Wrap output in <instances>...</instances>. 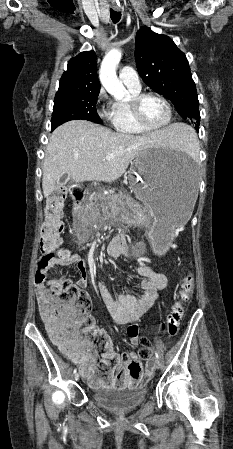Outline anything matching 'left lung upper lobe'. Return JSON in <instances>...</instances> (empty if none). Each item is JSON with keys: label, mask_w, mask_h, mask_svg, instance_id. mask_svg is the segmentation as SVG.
I'll list each match as a JSON object with an SVG mask.
<instances>
[{"label": "left lung upper lobe", "mask_w": 233, "mask_h": 449, "mask_svg": "<svg viewBox=\"0 0 233 449\" xmlns=\"http://www.w3.org/2000/svg\"><path fill=\"white\" fill-rule=\"evenodd\" d=\"M135 60L143 81L167 97L183 119L199 131L200 113L195 83L188 60L167 36L144 26L136 34Z\"/></svg>", "instance_id": "obj_1"}]
</instances>
